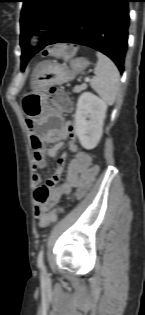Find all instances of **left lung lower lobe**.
I'll use <instances>...</instances> for the list:
<instances>
[{
	"mask_svg": "<svg viewBox=\"0 0 145 315\" xmlns=\"http://www.w3.org/2000/svg\"><path fill=\"white\" fill-rule=\"evenodd\" d=\"M129 2L132 0H75L64 23L50 40L31 48L30 35L20 39L21 58L31 59L47 45L75 43L107 55L122 73L127 52Z\"/></svg>",
	"mask_w": 145,
	"mask_h": 315,
	"instance_id": "obj_1",
	"label": "left lung lower lobe"
}]
</instances>
